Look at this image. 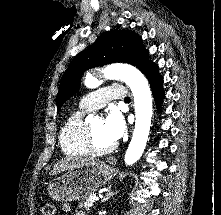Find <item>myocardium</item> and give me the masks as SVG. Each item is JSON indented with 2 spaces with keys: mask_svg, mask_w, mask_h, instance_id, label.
Returning <instances> with one entry per match:
<instances>
[{
  "mask_svg": "<svg viewBox=\"0 0 221 215\" xmlns=\"http://www.w3.org/2000/svg\"><path fill=\"white\" fill-rule=\"evenodd\" d=\"M86 144L91 153L97 154V155H104L109 154L113 152L116 148L115 144H112L108 147H100L96 144L93 131L91 128V125H87V131H86Z\"/></svg>",
  "mask_w": 221,
  "mask_h": 215,
  "instance_id": "obj_1",
  "label": "myocardium"
}]
</instances>
